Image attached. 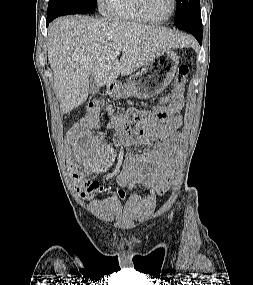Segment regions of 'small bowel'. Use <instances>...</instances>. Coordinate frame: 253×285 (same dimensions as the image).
I'll use <instances>...</instances> for the list:
<instances>
[{"instance_id": "1", "label": "small bowel", "mask_w": 253, "mask_h": 285, "mask_svg": "<svg viewBox=\"0 0 253 285\" xmlns=\"http://www.w3.org/2000/svg\"><path fill=\"white\" fill-rule=\"evenodd\" d=\"M183 106V96H168L150 111L131 108L129 113L138 117L136 128L113 127L116 129L114 145L123 154V168L117 176L119 185L131 190L144 187L159 196L169 190L168 156L175 149L177 131L182 124L179 112ZM101 121L109 122V113H102ZM138 147L145 148L139 151ZM160 171L162 176L158 175Z\"/></svg>"}]
</instances>
